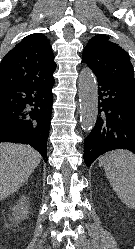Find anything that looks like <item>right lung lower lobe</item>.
I'll list each match as a JSON object with an SVG mask.
<instances>
[{
  "instance_id": "obj_1",
  "label": "right lung lower lobe",
  "mask_w": 135,
  "mask_h": 249,
  "mask_svg": "<svg viewBox=\"0 0 135 249\" xmlns=\"http://www.w3.org/2000/svg\"><path fill=\"white\" fill-rule=\"evenodd\" d=\"M54 78L0 88V142L33 146L47 162Z\"/></svg>"
}]
</instances>
